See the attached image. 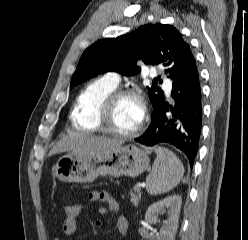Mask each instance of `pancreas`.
<instances>
[{
  "label": "pancreas",
  "mask_w": 248,
  "mask_h": 240,
  "mask_svg": "<svg viewBox=\"0 0 248 240\" xmlns=\"http://www.w3.org/2000/svg\"><path fill=\"white\" fill-rule=\"evenodd\" d=\"M133 190L130 192L131 202L137 206L141 198L140 187L134 186Z\"/></svg>",
  "instance_id": "1"
}]
</instances>
